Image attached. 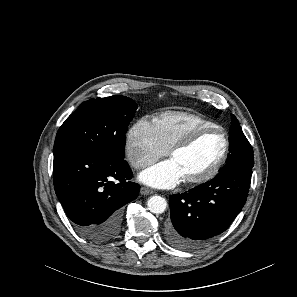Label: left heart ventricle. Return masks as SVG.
Listing matches in <instances>:
<instances>
[{"label": "left heart ventricle", "instance_id": "1", "mask_svg": "<svg viewBox=\"0 0 297 297\" xmlns=\"http://www.w3.org/2000/svg\"><path fill=\"white\" fill-rule=\"evenodd\" d=\"M223 148L224 143L219 134L207 133L171 159L181 169L184 178H192L211 168L220 158Z\"/></svg>", "mask_w": 297, "mask_h": 297}]
</instances>
